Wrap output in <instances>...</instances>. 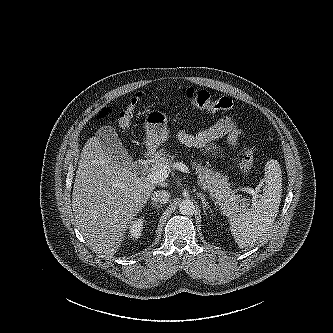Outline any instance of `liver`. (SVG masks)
Masks as SVG:
<instances>
[{"label":"liver","instance_id":"1","mask_svg":"<svg viewBox=\"0 0 333 333\" xmlns=\"http://www.w3.org/2000/svg\"><path fill=\"white\" fill-rule=\"evenodd\" d=\"M154 189L106 155L92 137L81 152L73 188L76 225L98 253L111 258Z\"/></svg>","mask_w":333,"mask_h":333}]
</instances>
